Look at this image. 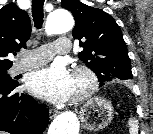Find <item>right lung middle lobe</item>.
<instances>
[{"label":"right lung middle lobe","mask_w":153,"mask_h":134,"mask_svg":"<svg viewBox=\"0 0 153 134\" xmlns=\"http://www.w3.org/2000/svg\"><path fill=\"white\" fill-rule=\"evenodd\" d=\"M8 69H1L0 70V82L7 84V85H16L18 84L16 81L12 80L7 73Z\"/></svg>","instance_id":"right-lung-middle-lobe-1"}]
</instances>
